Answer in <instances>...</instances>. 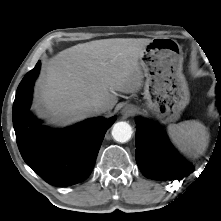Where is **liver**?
<instances>
[{
	"mask_svg": "<svg viewBox=\"0 0 221 221\" xmlns=\"http://www.w3.org/2000/svg\"><path fill=\"white\" fill-rule=\"evenodd\" d=\"M148 38H114L90 41L67 48L51 58L36 83L39 114L58 126L89 117L85 109L94 103L111 110L116 91L133 93L142 85L139 58Z\"/></svg>",
	"mask_w": 221,
	"mask_h": 221,
	"instance_id": "1",
	"label": "liver"
}]
</instances>
